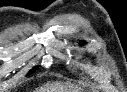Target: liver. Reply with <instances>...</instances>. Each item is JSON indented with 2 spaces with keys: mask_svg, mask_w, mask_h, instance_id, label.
<instances>
[{
  "mask_svg": "<svg viewBox=\"0 0 127 92\" xmlns=\"http://www.w3.org/2000/svg\"><path fill=\"white\" fill-rule=\"evenodd\" d=\"M50 90H58V91H54V92H78L77 90H79V89L76 86L74 87L71 84H66V85L57 84V88L54 86ZM47 92H49V91H47Z\"/></svg>",
  "mask_w": 127,
  "mask_h": 92,
  "instance_id": "6515ba94",
  "label": "liver"
}]
</instances>
